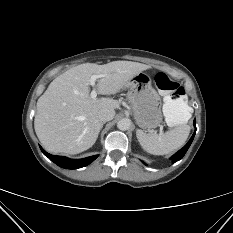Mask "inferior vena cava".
<instances>
[{
	"label": "inferior vena cava",
	"mask_w": 233,
	"mask_h": 233,
	"mask_svg": "<svg viewBox=\"0 0 233 233\" xmlns=\"http://www.w3.org/2000/svg\"><path fill=\"white\" fill-rule=\"evenodd\" d=\"M114 116H115V111L113 109H101L98 112V117L103 122L112 120Z\"/></svg>",
	"instance_id": "1"
}]
</instances>
